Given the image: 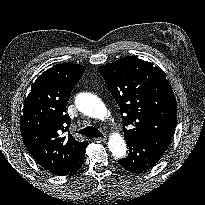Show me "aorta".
<instances>
[{
  "label": "aorta",
  "instance_id": "762f6f07",
  "mask_svg": "<svg viewBox=\"0 0 205 205\" xmlns=\"http://www.w3.org/2000/svg\"><path fill=\"white\" fill-rule=\"evenodd\" d=\"M75 105L80 112L92 118L103 119L106 114L105 105L92 93L82 92L77 94ZM108 147L116 159L125 158L127 155L126 143L118 135H114L109 139Z\"/></svg>",
  "mask_w": 205,
  "mask_h": 205
}]
</instances>
